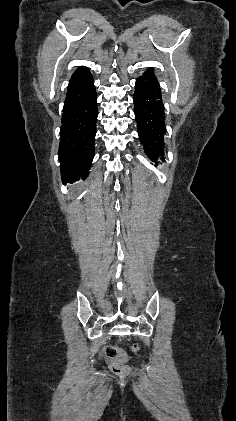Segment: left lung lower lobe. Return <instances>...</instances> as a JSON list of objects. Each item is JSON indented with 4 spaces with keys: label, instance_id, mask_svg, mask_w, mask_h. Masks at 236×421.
Returning a JSON list of instances; mask_svg holds the SVG:
<instances>
[{
    "label": "left lung lower lobe",
    "instance_id": "1",
    "mask_svg": "<svg viewBox=\"0 0 236 421\" xmlns=\"http://www.w3.org/2000/svg\"><path fill=\"white\" fill-rule=\"evenodd\" d=\"M138 135L148 158L158 165L164 160V104L160 84L152 70L138 77L134 93Z\"/></svg>",
    "mask_w": 236,
    "mask_h": 421
}]
</instances>
